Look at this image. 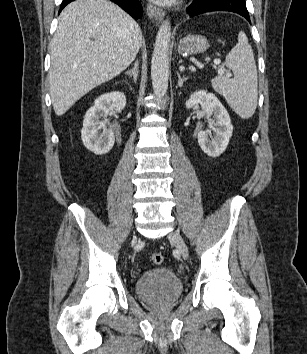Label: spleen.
<instances>
[{"mask_svg": "<svg viewBox=\"0 0 307 354\" xmlns=\"http://www.w3.org/2000/svg\"><path fill=\"white\" fill-rule=\"evenodd\" d=\"M225 65L233 71L234 78L216 76L212 87L223 95L235 113L249 119L257 107L258 77L253 50L245 33L239 32L238 43L226 55Z\"/></svg>", "mask_w": 307, "mask_h": 354, "instance_id": "1", "label": "spleen"}]
</instances>
